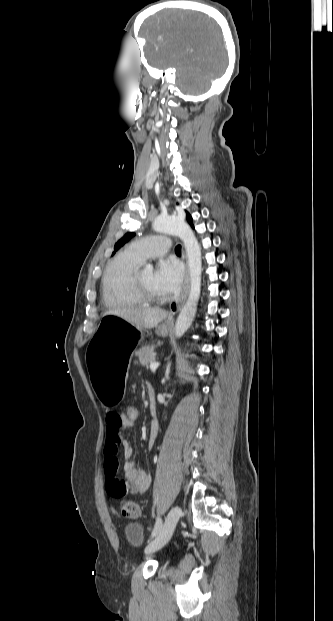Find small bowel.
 Instances as JSON below:
<instances>
[{
  "label": "small bowel",
  "instance_id": "c3829d8e",
  "mask_svg": "<svg viewBox=\"0 0 333 621\" xmlns=\"http://www.w3.org/2000/svg\"><path fill=\"white\" fill-rule=\"evenodd\" d=\"M133 424L125 420L123 413L110 411L106 417L107 438L104 445V473L106 477V491L113 498H122L128 494L145 493L151 483L148 473L136 466L132 461L133 448L124 439L123 433ZM158 432V424L154 421L150 429L149 446H151ZM122 450L125 462L122 467L124 478L119 477L120 465L118 452Z\"/></svg>",
  "mask_w": 333,
  "mask_h": 621
}]
</instances>
